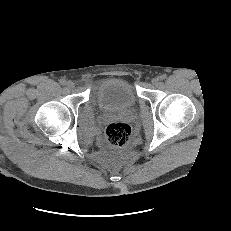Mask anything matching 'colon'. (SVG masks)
<instances>
[{"label": "colon", "instance_id": "5ec220e1", "mask_svg": "<svg viewBox=\"0 0 231 231\" xmlns=\"http://www.w3.org/2000/svg\"><path fill=\"white\" fill-rule=\"evenodd\" d=\"M131 128L126 123H113L106 129V139L108 143L116 148H122L129 142Z\"/></svg>", "mask_w": 231, "mask_h": 231}]
</instances>
